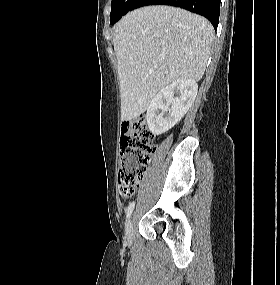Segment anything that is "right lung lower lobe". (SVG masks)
Wrapping results in <instances>:
<instances>
[{
	"label": "right lung lower lobe",
	"mask_w": 280,
	"mask_h": 285,
	"mask_svg": "<svg viewBox=\"0 0 280 285\" xmlns=\"http://www.w3.org/2000/svg\"><path fill=\"white\" fill-rule=\"evenodd\" d=\"M148 5L180 7L206 17L215 29L218 27L220 0H137L133 9Z\"/></svg>",
	"instance_id": "obj_1"
}]
</instances>
